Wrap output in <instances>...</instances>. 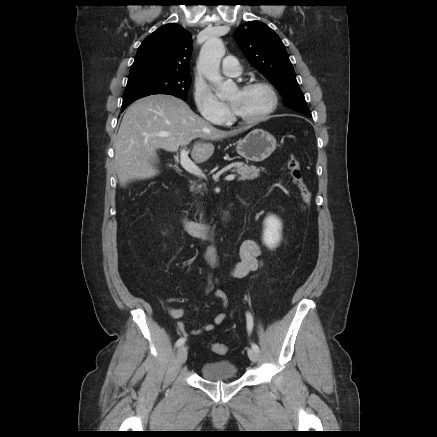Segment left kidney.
<instances>
[{"label": "left kidney", "instance_id": "1", "mask_svg": "<svg viewBox=\"0 0 437 437\" xmlns=\"http://www.w3.org/2000/svg\"><path fill=\"white\" fill-rule=\"evenodd\" d=\"M282 223L270 215L264 220L263 243L270 249L275 248L281 240Z\"/></svg>", "mask_w": 437, "mask_h": 437}]
</instances>
